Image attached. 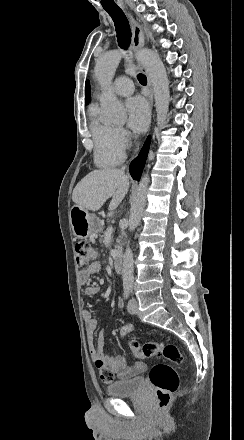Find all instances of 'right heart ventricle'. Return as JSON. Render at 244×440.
<instances>
[{
    "label": "right heart ventricle",
    "instance_id": "1",
    "mask_svg": "<svg viewBox=\"0 0 244 440\" xmlns=\"http://www.w3.org/2000/svg\"><path fill=\"white\" fill-rule=\"evenodd\" d=\"M100 109L96 103H92L88 108L90 125V136L94 138L95 153L94 160L101 168H112L119 165L124 159L121 150H109L106 142L112 136V128L104 123L100 117Z\"/></svg>",
    "mask_w": 244,
    "mask_h": 440
}]
</instances>
